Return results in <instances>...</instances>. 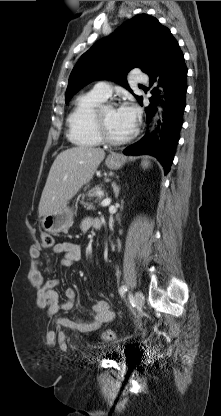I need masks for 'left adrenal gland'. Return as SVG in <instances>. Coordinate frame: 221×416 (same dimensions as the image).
Wrapping results in <instances>:
<instances>
[{
    "label": "left adrenal gland",
    "mask_w": 221,
    "mask_h": 416,
    "mask_svg": "<svg viewBox=\"0 0 221 416\" xmlns=\"http://www.w3.org/2000/svg\"><path fill=\"white\" fill-rule=\"evenodd\" d=\"M112 187H113V191H114V194H115V198H118L120 187H118L115 182L112 183Z\"/></svg>",
    "instance_id": "left-adrenal-gland-1"
}]
</instances>
